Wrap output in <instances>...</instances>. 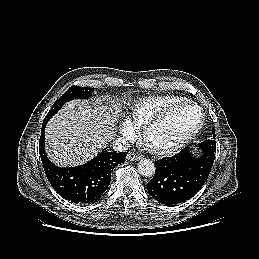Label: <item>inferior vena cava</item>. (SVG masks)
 Masks as SVG:
<instances>
[{
    "instance_id": "inferior-vena-cava-1",
    "label": "inferior vena cava",
    "mask_w": 259,
    "mask_h": 259,
    "mask_svg": "<svg viewBox=\"0 0 259 259\" xmlns=\"http://www.w3.org/2000/svg\"><path fill=\"white\" fill-rule=\"evenodd\" d=\"M113 148L117 152H125L130 148V143L126 138L120 137L113 141Z\"/></svg>"
}]
</instances>
